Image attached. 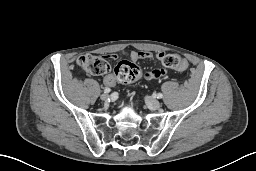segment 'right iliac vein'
Wrapping results in <instances>:
<instances>
[{
	"mask_svg": "<svg viewBox=\"0 0 256 171\" xmlns=\"http://www.w3.org/2000/svg\"><path fill=\"white\" fill-rule=\"evenodd\" d=\"M100 98H101V100H103V101H107V100L109 99V95L106 94V93H104V94L101 95Z\"/></svg>",
	"mask_w": 256,
	"mask_h": 171,
	"instance_id": "right-iliac-vein-1",
	"label": "right iliac vein"
}]
</instances>
